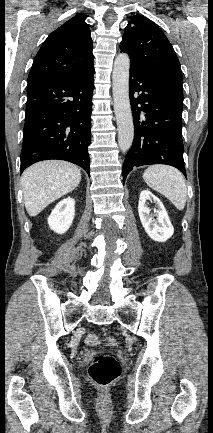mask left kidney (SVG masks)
Here are the masks:
<instances>
[{"label":"left kidney","instance_id":"left-kidney-1","mask_svg":"<svg viewBox=\"0 0 213 433\" xmlns=\"http://www.w3.org/2000/svg\"><path fill=\"white\" fill-rule=\"evenodd\" d=\"M147 201L155 203L154 215L157 217L156 219H154V215L150 214L151 210L147 207ZM138 213L142 226L151 239L165 242L173 235L174 228L163 203L149 190H143L140 193Z\"/></svg>","mask_w":213,"mask_h":433}]
</instances>
